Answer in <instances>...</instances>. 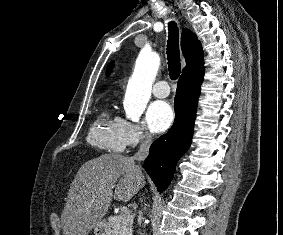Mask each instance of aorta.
<instances>
[{"instance_id":"aorta-1","label":"aorta","mask_w":283,"mask_h":235,"mask_svg":"<svg viewBox=\"0 0 283 235\" xmlns=\"http://www.w3.org/2000/svg\"><path fill=\"white\" fill-rule=\"evenodd\" d=\"M159 66L160 57L157 53L140 52L123 101L125 115L128 119L139 121L150 99L152 84Z\"/></svg>"}]
</instances>
